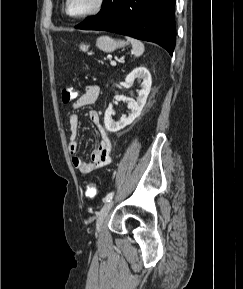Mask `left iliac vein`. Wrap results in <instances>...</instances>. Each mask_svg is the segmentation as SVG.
Listing matches in <instances>:
<instances>
[{
    "instance_id": "1",
    "label": "left iliac vein",
    "mask_w": 243,
    "mask_h": 289,
    "mask_svg": "<svg viewBox=\"0 0 243 289\" xmlns=\"http://www.w3.org/2000/svg\"><path fill=\"white\" fill-rule=\"evenodd\" d=\"M113 204H114L113 200L106 202L104 204V206L101 208L100 212L98 213L97 222H96L97 231H99L101 229V227L104 223V220H105L107 214L109 213V211L111 210Z\"/></svg>"
}]
</instances>
